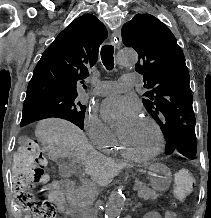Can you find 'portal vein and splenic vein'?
<instances>
[{
    "label": "portal vein and splenic vein",
    "instance_id": "portal-vein-and-splenic-vein-1",
    "mask_svg": "<svg viewBox=\"0 0 211 218\" xmlns=\"http://www.w3.org/2000/svg\"><path fill=\"white\" fill-rule=\"evenodd\" d=\"M132 189H135V186H132Z\"/></svg>",
    "mask_w": 211,
    "mask_h": 218
}]
</instances>
